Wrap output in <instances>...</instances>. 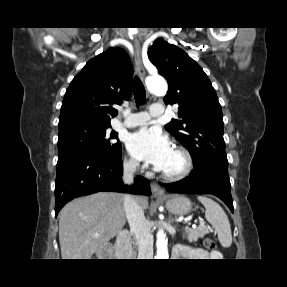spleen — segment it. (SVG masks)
I'll return each instance as SVG.
<instances>
[{
	"label": "spleen",
	"mask_w": 287,
	"mask_h": 287,
	"mask_svg": "<svg viewBox=\"0 0 287 287\" xmlns=\"http://www.w3.org/2000/svg\"><path fill=\"white\" fill-rule=\"evenodd\" d=\"M197 199L205 206V218L214 227L221 245L228 248L232 244L231 227L228 217L221 206L206 196Z\"/></svg>",
	"instance_id": "3e777b00"
}]
</instances>
